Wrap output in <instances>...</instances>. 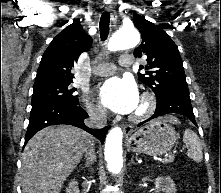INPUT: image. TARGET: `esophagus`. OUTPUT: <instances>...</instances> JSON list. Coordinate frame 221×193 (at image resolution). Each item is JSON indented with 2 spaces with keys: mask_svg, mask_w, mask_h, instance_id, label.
<instances>
[{
  "mask_svg": "<svg viewBox=\"0 0 221 193\" xmlns=\"http://www.w3.org/2000/svg\"><path fill=\"white\" fill-rule=\"evenodd\" d=\"M105 10L106 11H111L112 10V5L111 4H106L105 5ZM123 130H124V132H129V131H131V127L128 126V125H124Z\"/></svg>",
  "mask_w": 221,
  "mask_h": 193,
  "instance_id": "esophagus-1",
  "label": "esophagus"
}]
</instances>
